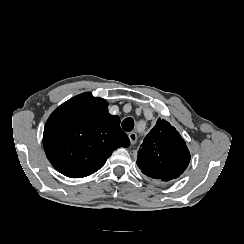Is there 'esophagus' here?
<instances>
[{"label":"esophagus","mask_w":244,"mask_h":244,"mask_svg":"<svg viewBox=\"0 0 244 244\" xmlns=\"http://www.w3.org/2000/svg\"><path fill=\"white\" fill-rule=\"evenodd\" d=\"M129 140L131 142V144H135L137 141V134L135 132H130L128 134Z\"/></svg>","instance_id":"esophagus-1"}]
</instances>
